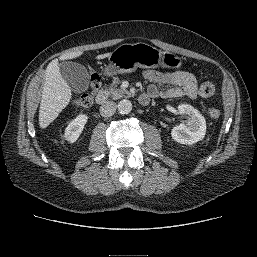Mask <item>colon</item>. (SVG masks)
Returning a JSON list of instances; mask_svg holds the SVG:
<instances>
[{"instance_id": "obj_1", "label": "colon", "mask_w": 257, "mask_h": 257, "mask_svg": "<svg viewBox=\"0 0 257 257\" xmlns=\"http://www.w3.org/2000/svg\"><path fill=\"white\" fill-rule=\"evenodd\" d=\"M99 87L100 79L96 74H93L91 77L90 91L78 96L75 103L84 108L91 106L93 103V95L99 89ZM199 91L202 96L210 97L214 95L216 87L212 82L207 81L201 84ZM208 113L211 118H218L220 116V110L215 107L210 108Z\"/></svg>"}]
</instances>
